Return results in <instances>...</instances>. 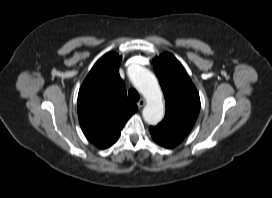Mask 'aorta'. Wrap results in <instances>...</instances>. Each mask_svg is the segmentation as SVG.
<instances>
[{
  "label": "aorta",
  "instance_id": "aorta-1",
  "mask_svg": "<svg viewBox=\"0 0 272 198\" xmlns=\"http://www.w3.org/2000/svg\"><path fill=\"white\" fill-rule=\"evenodd\" d=\"M130 78L147 100L142 112L144 121L150 125L158 124L164 117V104L163 94L155 75L144 67L136 66L130 73Z\"/></svg>",
  "mask_w": 272,
  "mask_h": 198
}]
</instances>
